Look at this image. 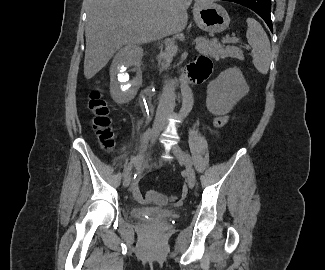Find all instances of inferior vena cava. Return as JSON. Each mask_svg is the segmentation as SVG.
<instances>
[{
  "label": "inferior vena cava",
  "mask_w": 325,
  "mask_h": 270,
  "mask_svg": "<svg viewBox=\"0 0 325 270\" xmlns=\"http://www.w3.org/2000/svg\"><path fill=\"white\" fill-rule=\"evenodd\" d=\"M174 106V88L169 83H166L156 112V121L163 122L165 117L173 111Z\"/></svg>",
  "instance_id": "inferior-vena-cava-1"
}]
</instances>
